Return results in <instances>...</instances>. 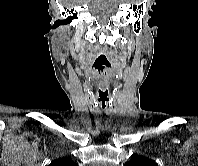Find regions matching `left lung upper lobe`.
Masks as SVG:
<instances>
[{
	"label": "left lung upper lobe",
	"mask_w": 198,
	"mask_h": 166,
	"mask_svg": "<svg viewBox=\"0 0 198 166\" xmlns=\"http://www.w3.org/2000/svg\"><path fill=\"white\" fill-rule=\"evenodd\" d=\"M125 166H158L154 161L145 158L144 156H136L132 158Z\"/></svg>",
	"instance_id": "obj_1"
}]
</instances>
